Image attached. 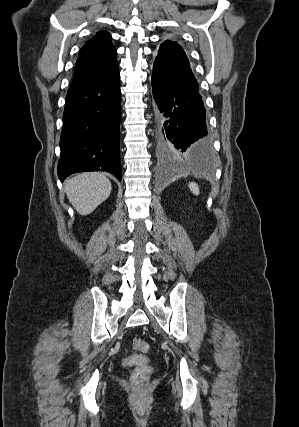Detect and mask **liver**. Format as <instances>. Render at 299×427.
I'll use <instances>...</instances> for the list:
<instances>
[{
  "label": "liver",
  "instance_id": "liver-1",
  "mask_svg": "<svg viewBox=\"0 0 299 427\" xmlns=\"http://www.w3.org/2000/svg\"><path fill=\"white\" fill-rule=\"evenodd\" d=\"M65 192L70 203L81 215H88L110 195L109 179L99 172L77 174L65 181Z\"/></svg>",
  "mask_w": 299,
  "mask_h": 427
}]
</instances>
